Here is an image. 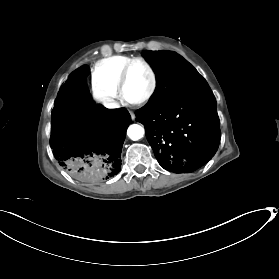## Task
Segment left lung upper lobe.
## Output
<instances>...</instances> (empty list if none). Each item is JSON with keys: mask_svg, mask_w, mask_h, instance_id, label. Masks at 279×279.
<instances>
[{"mask_svg": "<svg viewBox=\"0 0 279 279\" xmlns=\"http://www.w3.org/2000/svg\"><path fill=\"white\" fill-rule=\"evenodd\" d=\"M156 73V89L148 103L143 107H160L185 93L191 86L204 80L196 69L174 52H143Z\"/></svg>", "mask_w": 279, "mask_h": 279, "instance_id": "obj_1", "label": "left lung upper lobe"}]
</instances>
